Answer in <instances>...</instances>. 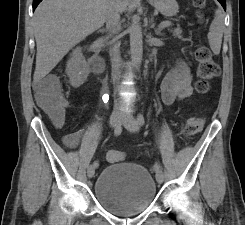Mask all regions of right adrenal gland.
<instances>
[{"label": "right adrenal gland", "instance_id": "right-adrenal-gland-1", "mask_svg": "<svg viewBox=\"0 0 245 225\" xmlns=\"http://www.w3.org/2000/svg\"><path fill=\"white\" fill-rule=\"evenodd\" d=\"M108 31V28H103V29H100L99 31H98V33H105V32H107Z\"/></svg>", "mask_w": 245, "mask_h": 225}]
</instances>
